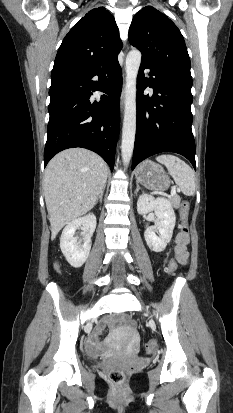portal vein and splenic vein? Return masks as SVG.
I'll return each mask as SVG.
<instances>
[{"mask_svg":"<svg viewBox=\"0 0 233 413\" xmlns=\"http://www.w3.org/2000/svg\"><path fill=\"white\" fill-rule=\"evenodd\" d=\"M176 191H179V189H178V188H173V189L171 190V195H170V197H173V196L176 194Z\"/></svg>","mask_w":233,"mask_h":413,"instance_id":"18ae733b","label":"portal vein and splenic vein"}]
</instances>
